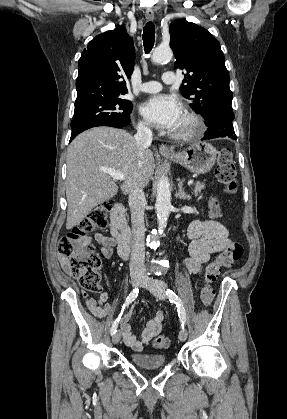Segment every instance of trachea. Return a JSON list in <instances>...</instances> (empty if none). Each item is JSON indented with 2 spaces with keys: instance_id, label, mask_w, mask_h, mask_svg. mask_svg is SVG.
<instances>
[{
  "instance_id": "obj_1",
  "label": "trachea",
  "mask_w": 287,
  "mask_h": 419,
  "mask_svg": "<svg viewBox=\"0 0 287 419\" xmlns=\"http://www.w3.org/2000/svg\"><path fill=\"white\" fill-rule=\"evenodd\" d=\"M154 42H155V26L150 21L145 25L143 29V44H144L145 53H149L152 50L154 46Z\"/></svg>"
}]
</instances>
